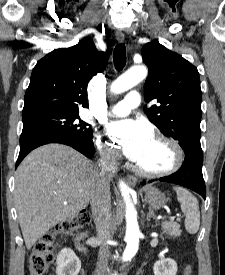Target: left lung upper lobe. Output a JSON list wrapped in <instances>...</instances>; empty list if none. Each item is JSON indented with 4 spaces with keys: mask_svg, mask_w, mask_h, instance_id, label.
Listing matches in <instances>:
<instances>
[{
    "mask_svg": "<svg viewBox=\"0 0 225 275\" xmlns=\"http://www.w3.org/2000/svg\"><path fill=\"white\" fill-rule=\"evenodd\" d=\"M149 67L144 86L146 102L157 101L145 113L164 135L176 139L182 149L201 148V88L195 66L157 41L141 51Z\"/></svg>",
    "mask_w": 225,
    "mask_h": 275,
    "instance_id": "obj_1",
    "label": "left lung upper lobe"
}]
</instances>
